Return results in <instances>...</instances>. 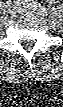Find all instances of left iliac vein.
Here are the masks:
<instances>
[{
	"label": "left iliac vein",
	"instance_id": "obj_1",
	"mask_svg": "<svg viewBox=\"0 0 63 107\" xmlns=\"http://www.w3.org/2000/svg\"><path fill=\"white\" fill-rule=\"evenodd\" d=\"M17 12H19V13H26L27 9L24 6H19V7H17Z\"/></svg>",
	"mask_w": 63,
	"mask_h": 107
}]
</instances>
